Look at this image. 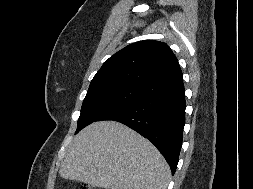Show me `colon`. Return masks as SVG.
Here are the masks:
<instances>
[{"label": "colon", "instance_id": "colon-1", "mask_svg": "<svg viewBox=\"0 0 253 189\" xmlns=\"http://www.w3.org/2000/svg\"><path fill=\"white\" fill-rule=\"evenodd\" d=\"M79 189H98V188L91 187L90 185L82 184L80 185Z\"/></svg>", "mask_w": 253, "mask_h": 189}]
</instances>
